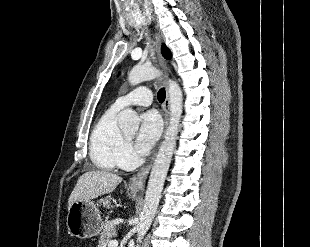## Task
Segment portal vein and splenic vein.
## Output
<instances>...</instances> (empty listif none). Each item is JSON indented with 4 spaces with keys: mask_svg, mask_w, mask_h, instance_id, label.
<instances>
[{
    "mask_svg": "<svg viewBox=\"0 0 310 247\" xmlns=\"http://www.w3.org/2000/svg\"><path fill=\"white\" fill-rule=\"evenodd\" d=\"M118 241L117 240H111L108 244V247H117Z\"/></svg>",
    "mask_w": 310,
    "mask_h": 247,
    "instance_id": "1",
    "label": "portal vein and splenic vein"
}]
</instances>
